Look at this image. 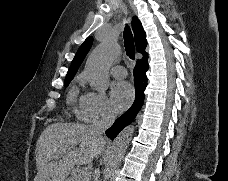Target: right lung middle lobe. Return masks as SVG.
<instances>
[{
    "mask_svg": "<svg viewBox=\"0 0 228 181\" xmlns=\"http://www.w3.org/2000/svg\"><path fill=\"white\" fill-rule=\"evenodd\" d=\"M71 80L65 81L64 84L65 86H68Z\"/></svg>",
    "mask_w": 228,
    "mask_h": 181,
    "instance_id": "obj_1",
    "label": "right lung middle lobe"
}]
</instances>
